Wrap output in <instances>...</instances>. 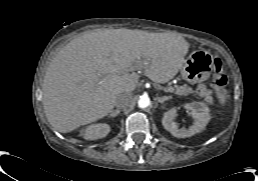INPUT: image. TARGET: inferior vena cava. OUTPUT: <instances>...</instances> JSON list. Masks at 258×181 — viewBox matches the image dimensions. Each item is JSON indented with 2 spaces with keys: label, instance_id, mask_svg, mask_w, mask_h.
<instances>
[{
  "label": "inferior vena cava",
  "instance_id": "602c4592",
  "mask_svg": "<svg viewBox=\"0 0 258 181\" xmlns=\"http://www.w3.org/2000/svg\"><path fill=\"white\" fill-rule=\"evenodd\" d=\"M131 98H132L131 93H122L117 97L115 101V106L118 109L125 108L129 104Z\"/></svg>",
  "mask_w": 258,
  "mask_h": 181
}]
</instances>
